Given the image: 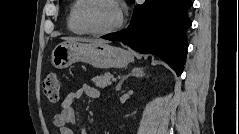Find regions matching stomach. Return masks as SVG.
Returning <instances> with one entry per match:
<instances>
[{
	"instance_id": "0dacf381",
	"label": "stomach",
	"mask_w": 239,
	"mask_h": 134,
	"mask_svg": "<svg viewBox=\"0 0 239 134\" xmlns=\"http://www.w3.org/2000/svg\"><path fill=\"white\" fill-rule=\"evenodd\" d=\"M132 59L129 51L105 42L66 41L58 44L51 54L52 65L57 69L67 68L79 61L100 69L124 68Z\"/></svg>"
}]
</instances>
